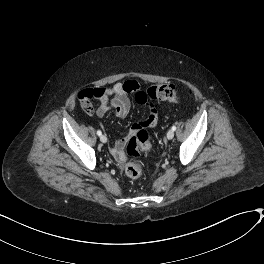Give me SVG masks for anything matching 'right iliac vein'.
Returning a JSON list of instances; mask_svg holds the SVG:
<instances>
[{
	"mask_svg": "<svg viewBox=\"0 0 264 264\" xmlns=\"http://www.w3.org/2000/svg\"><path fill=\"white\" fill-rule=\"evenodd\" d=\"M100 141H101L102 143H106V142H107V137H106L105 135H101V136H100Z\"/></svg>",
	"mask_w": 264,
	"mask_h": 264,
	"instance_id": "right-iliac-vein-1",
	"label": "right iliac vein"
}]
</instances>
